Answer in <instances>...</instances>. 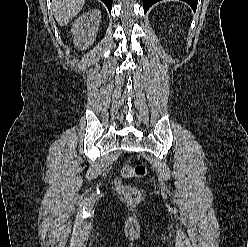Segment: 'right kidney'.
<instances>
[{"label":"right kidney","instance_id":"right-kidney-1","mask_svg":"<svg viewBox=\"0 0 248 247\" xmlns=\"http://www.w3.org/2000/svg\"><path fill=\"white\" fill-rule=\"evenodd\" d=\"M101 20L98 9L90 10L80 16L72 24L71 32L74 35V44L81 49H87L96 39Z\"/></svg>","mask_w":248,"mask_h":247}]
</instances>
